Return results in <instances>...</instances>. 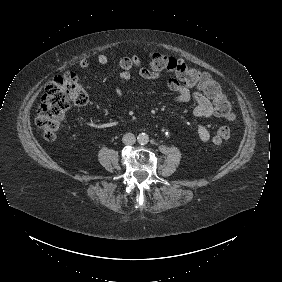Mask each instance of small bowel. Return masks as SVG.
Segmentation results:
<instances>
[{
    "label": "small bowel",
    "instance_id": "c3829d8e",
    "mask_svg": "<svg viewBox=\"0 0 282 282\" xmlns=\"http://www.w3.org/2000/svg\"><path fill=\"white\" fill-rule=\"evenodd\" d=\"M97 62L101 65H105L108 62V57L105 54H99L97 56ZM119 65L121 67L119 79L122 82L129 81L132 77L131 70L136 68L139 76L145 80L163 81L173 92V95L170 97L172 103L184 105L194 102L195 107L193 109V115L196 118L219 117L212 106V101L199 86L198 89L192 90L190 87L180 83L174 77L164 76L156 70H151L143 66L136 55L122 57L119 61ZM78 66L81 69H87L90 66V61L87 58H82L79 60ZM116 93L119 97L123 96V91L119 87L116 89ZM197 135L202 142H208L210 139V131L204 125L197 127Z\"/></svg>",
    "mask_w": 282,
    "mask_h": 282
}]
</instances>
